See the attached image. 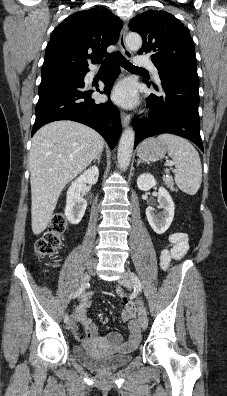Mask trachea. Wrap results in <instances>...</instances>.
Masks as SVG:
<instances>
[{
  "label": "trachea",
  "instance_id": "obj_1",
  "mask_svg": "<svg viewBox=\"0 0 227 396\" xmlns=\"http://www.w3.org/2000/svg\"><path fill=\"white\" fill-rule=\"evenodd\" d=\"M116 60L126 70H130V71H146L143 68H139V67H136V66L132 65L125 57H123L121 55L120 52H116L112 56L106 58L104 60V62L102 63L101 67L107 68V67H109V65L111 63L115 62Z\"/></svg>",
  "mask_w": 227,
  "mask_h": 396
}]
</instances>
